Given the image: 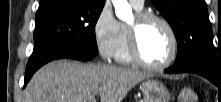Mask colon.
Segmentation results:
<instances>
[{
	"mask_svg": "<svg viewBox=\"0 0 221 102\" xmlns=\"http://www.w3.org/2000/svg\"><path fill=\"white\" fill-rule=\"evenodd\" d=\"M179 102H199L197 93L192 88H184L179 95Z\"/></svg>",
	"mask_w": 221,
	"mask_h": 102,
	"instance_id": "colon-1",
	"label": "colon"
}]
</instances>
